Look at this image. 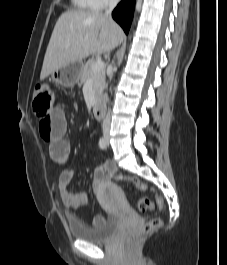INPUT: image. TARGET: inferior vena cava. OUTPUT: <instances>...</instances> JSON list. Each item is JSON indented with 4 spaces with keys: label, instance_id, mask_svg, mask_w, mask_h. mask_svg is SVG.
<instances>
[{
    "label": "inferior vena cava",
    "instance_id": "inferior-vena-cava-1",
    "mask_svg": "<svg viewBox=\"0 0 227 265\" xmlns=\"http://www.w3.org/2000/svg\"><path fill=\"white\" fill-rule=\"evenodd\" d=\"M119 0H109V7L108 9L105 11V16L108 18H111V13L113 11V9L116 7V5L118 4ZM103 131L107 132L110 129V114L109 112L107 113L104 121H103Z\"/></svg>",
    "mask_w": 227,
    "mask_h": 265
}]
</instances>
